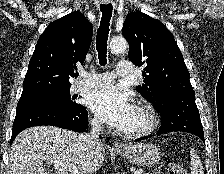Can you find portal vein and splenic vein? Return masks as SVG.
Returning a JSON list of instances; mask_svg holds the SVG:
<instances>
[{
  "instance_id": "obj_1",
  "label": "portal vein and splenic vein",
  "mask_w": 224,
  "mask_h": 174,
  "mask_svg": "<svg viewBox=\"0 0 224 174\" xmlns=\"http://www.w3.org/2000/svg\"><path fill=\"white\" fill-rule=\"evenodd\" d=\"M56 166L60 167L61 170L70 169V167H68L67 165H64V164H56ZM72 174H76V172H73ZM134 174H143V171H141V170L135 171Z\"/></svg>"
}]
</instances>
